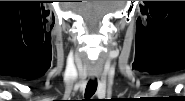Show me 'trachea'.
Masks as SVG:
<instances>
[{
    "label": "trachea",
    "mask_w": 185,
    "mask_h": 101,
    "mask_svg": "<svg viewBox=\"0 0 185 101\" xmlns=\"http://www.w3.org/2000/svg\"><path fill=\"white\" fill-rule=\"evenodd\" d=\"M97 90V81L96 80H90L86 86L85 89V97L87 98L86 101H89Z\"/></svg>",
    "instance_id": "1"
}]
</instances>
